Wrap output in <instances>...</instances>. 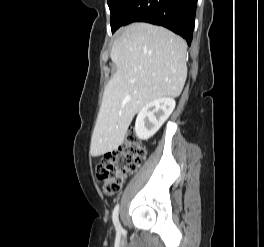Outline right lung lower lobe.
Here are the masks:
<instances>
[{
  "label": "right lung lower lobe",
  "instance_id": "1",
  "mask_svg": "<svg viewBox=\"0 0 264 247\" xmlns=\"http://www.w3.org/2000/svg\"><path fill=\"white\" fill-rule=\"evenodd\" d=\"M197 0H130L118 17L116 29L133 22H147L170 29L190 45Z\"/></svg>",
  "mask_w": 264,
  "mask_h": 247
}]
</instances>
